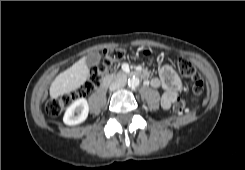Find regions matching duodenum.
<instances>
[{"label":"duodenum","mask_w":245,"mask_h":170,"mask_svg":"<svg viewBox=\"0 0 245 170\" xmlns=\"http://www.w3.org/2000/svg\"><path fill=\"white\" fill-rule=\"evenodd\" d=\"M134 74L140 78H145L146 77V72L143 71V70H139V71H136L134 72ZM126 77V74L124 73H117V74H114V75H109V76H106L105 78H103V80L101 81V84H100V87L101 88H106L110 82L112 80H119V79H123Z\"/></svg>","instance_id":"obj_1"}]
</instances>
